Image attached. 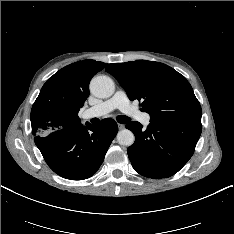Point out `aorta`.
I'll return each mask as SVG.
<instances>
[{
  "mask_svg": "<svg viewBox=\"0 0 234 234\" xmlns=\"http://www.w3.org/2000/svg\"><path fill=\"white\" fill-rule=\"evenodd\" d=\"M90 90L96 97L109 98L114 93L115 85L108 76H96L90 82ZM134 139V134L128 129L120 130L117 134V141L123 146H131Z\"/></svg>",
  "mask_w": 234,
  "mask_h": 234,
  "instance_id": "762f6f07",
  "label": "aorta"
}]
</instances>
